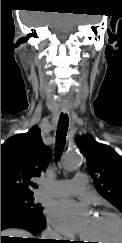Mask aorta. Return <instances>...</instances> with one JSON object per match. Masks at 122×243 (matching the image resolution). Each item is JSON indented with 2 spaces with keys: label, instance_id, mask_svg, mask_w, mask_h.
<instances>
[{
  "label": "aorta",
  "instance_id": "obj_1",
  "mask_svg": "<svg viewBox=\"0 0 122 243\" xmlns=\"http://www.w3.org/2000/svg\"><path fill=\"white\" fill-rule=\"evenodd\" d=\"M81 164V156L75 151L65 153L62 161L63 168L70 172L76 170Z\"/></svg>",
  "mask_w": 122,
  "mask_h": 243
}]
</instances>
